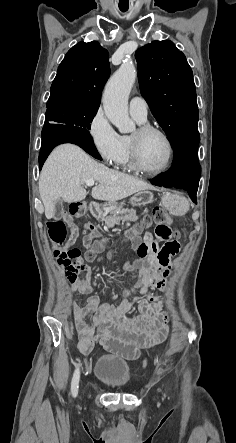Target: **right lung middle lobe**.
Returning a JSON list of instances; mask_svg holds the SVG:
<instances>
[{
	"label": "right lung middle lobe",
	"mask_w": 236,
	"mask_h": 443,
	"mask_svg": "<svg viewBox=\"0 0 236 443\" xmlns=\"http://www.w3.org/2000/svg\"><path fill=\"white\" fill-rule=\"evenodd\" d=\"M97 110L98 107L81 105L71 101L47 103L44 127L50 124L67 125L72 131L91 137L89 130Z\"/></svg>",
	"instance_id": "1"
}]
</instances>
